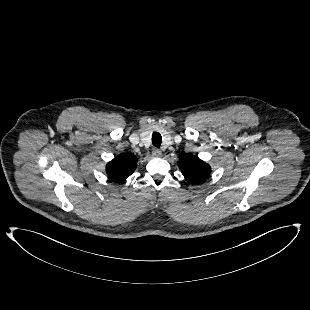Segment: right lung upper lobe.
I'll return each mask as SVG.
<instances>
[{"label":"right lung upper lobe","instance_id":"obj_1","mask_svg":"<svg viewBox=\"0 0 310 310\" xmlns=\"http://www.w3.org/2000/svg\"><path fill=\"white\" fill-rule=\"evenodd\" d=\"M137 161L133 154H120L106 165V172L111 180L123 181L134 172Z\"/></svg>","mask_w":310,"mask_h":310}]
</instances>
